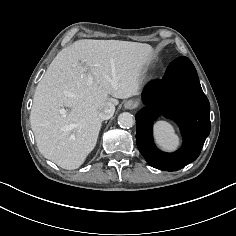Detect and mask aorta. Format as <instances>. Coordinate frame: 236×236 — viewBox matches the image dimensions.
I'll return each mask as SVG.
<instances>
[{
  "label": "aorta",
  "mask_w": 236,
  "mask_h": 236,
  "mask_svg": "<svg viewBox=\"0 0 236 236\" xmlns=\"http://www.w3.org/2000/svg\"><path fill=\"white\" fill-rule=\"evenodd\" d=\"M135 120L131 113L123 112L118 117V124L122 128H130L134 125Z\"/></svg>",
  "instance_id": "aorta-1"
}]
</instances>
